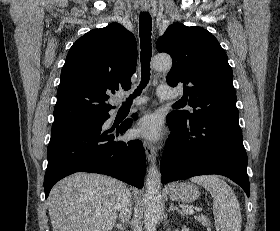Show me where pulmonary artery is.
<instances>
[{
    "mask_svg": "<svg viewBox=\"0 0 280 231\" xmlns=\"http://www.w3.org/2000/svg\"><path fill=\"white\" fill-rule=\"evenodd\" d=\"M158 97L162 100H170L177 97L179 94L177 91L173 90L170 86L160 85L157 89ZM145 103V99L138 101L133 104V106H139Z\"/></svg>",
    "mask_w": 280,
    "mask_h": 231,
    "instance_id": "obj_1",
    "label": "pulmonary artery"
}]
</instances>
